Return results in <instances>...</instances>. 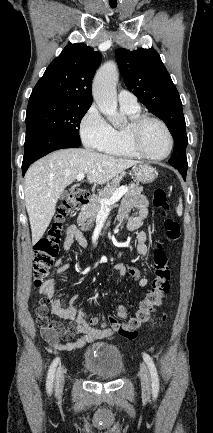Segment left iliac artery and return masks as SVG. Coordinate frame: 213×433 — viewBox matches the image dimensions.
Returning <instances> with one entry per match:
<instances>
[{
	"label": "left iliac artery",
	"instance_id": "44dca946",
	"mask_svg": "<svg viewBox=\"0 0 213 433\" xmlns=\"http://www.w3.org/2000/svg\"><path fill=\"white\" fill-rule=\"evenodd\" d=\"M143 359L146 362V364L149 368L150 374H151L152 394L154 397H157L158 392H159V378H158L155 364H154L152 358L147 353H143Z\"/></svg>",
	"mask_w": 213,
	"mask_h": 433
}]
</instances>
